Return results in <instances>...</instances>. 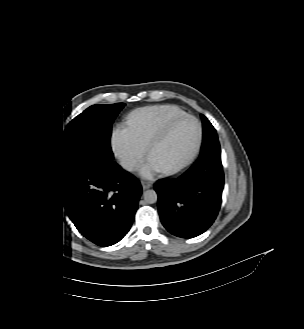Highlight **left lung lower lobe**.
<instances>
[{"mask_svg":"<svg viewBox=\"0 0 304 329\" xmlns=\"http://www.w3.org/2000/svg\"><path fill=\"white\" fill-rule=\"evenodd\" d=\"M220 153L219 141L215 140L183 175L154 185L161 222L173 235L193 238L214 222L224 187Z\"/></svg>","mask_w":304,"mask_h":329,"instance_id":"left-lung-lower-lobe-1","label":"left lung lower lobe"}]
</instances>
